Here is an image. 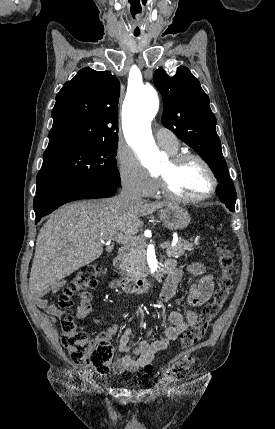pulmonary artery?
I'll return each mask as SVG.
<instances>
[{
	"label": "pulmonary artery",
	"instance_id": "e3ab8cb5",
	"mask_svg": "<svg viewBox=\"0 0 275 429\" xmlns=\"http://www.w3.org/2000/svg\"><path fill=\"white\" fill-rule=\"evenodd\" d=\"M156 139L161 147L165 150L174 153L178 150V141L176 136L166 129L156 131Z\"/></svg>",
	"mask_w": 275,
	"mask_h": 429
}]
</instances>
